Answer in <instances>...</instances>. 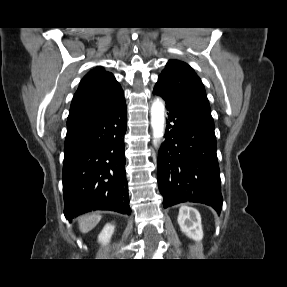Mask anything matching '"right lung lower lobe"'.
Masks as SVG:
<instances>
[{"mask_svg": "<svg viewBox=\"0 0 287 287\" xmlns=\"http://www.w3.org/2000/svg\"><path fill=\"white\" fill-rule=\"evenodd\" d=\"M125 100L115 109L67 122L63 195L66 219L94 210L130 214L126 182Z\"/></svg>", "mask_w": 287, "mask_h": 287, "instance_id": "98d812e1", "label": "right lung lower lobe"}]
</instances>
